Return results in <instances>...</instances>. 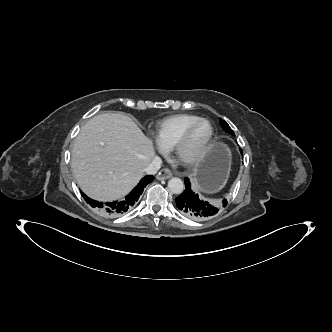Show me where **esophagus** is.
<instances>
[{"label": "esophagus", "instance_id": "esophagus-1", "mask_svg": "<svg viewBox=\"0 0 332 332\" xmlns=\"http://www.w3.org/2000/svg\"><path fill=\"white\" fill-rule=\"evenodd\" d=\"M172 176V173L169 169H162L156 176L157 180H166Z\"/></svg>", "mask_w": 332, "mask_h": 332}]
</instances>
